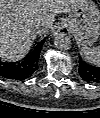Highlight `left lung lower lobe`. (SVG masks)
<instances>
[{
	"label": "left lung lower lobe",
	"instance_id": "left-lung-lower-lobe-1",
	"mask_svg": "<svg viewBox=\"0 0 100 118\" xmlns=\"http://www.w3.org/2000/svg\"><path fill=\"white\" fill-rule=\"evenodd\" d=\"M79 74L84 81L89 83H99L100 82V66H93L85 61L82 58H79Z\"/></svg>",
	"mask_w": 100,
	"mask_h": 118
}]
</instances>
